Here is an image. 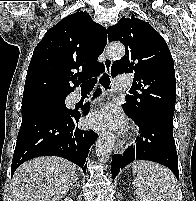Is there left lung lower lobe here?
Masks as SVG:
<instances>
[{"label":"left lung lower lobe","mask_w":196,"mask_h":201,"mask_svg":"<svg viewBox=\"0 0 196 201\" xmlns=\"http://www.w3.org/2000/svg\"><path fill=\"white\" fill-rule=\"evenodd\" d=\"M130 117V116H129ZM139 126L136 144L122 155L112 158L111 172L114 179L126 165L134 160H149L168 167L179 178L178 156L173 138V116L153 112L134 119Z\"/></svg>","instance_id":"left-lung-lower-lobe-1"}]
</instances>
